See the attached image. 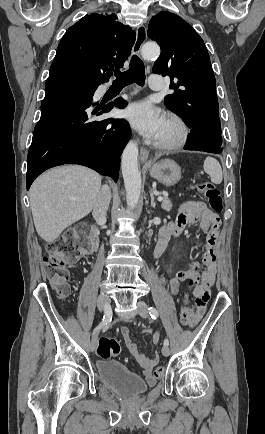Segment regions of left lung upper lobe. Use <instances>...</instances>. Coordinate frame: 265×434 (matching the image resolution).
Wrapping results in <instances>:
<instances>
[{"label":"left lung upper lobe","mask_w":265,"mask_h":434,"mask_svg":"<svg viewBox=\"0 0 265 434\" xmlns=\"http://www.w3.org/2000/svg\"><path fill=\"white\" fill-rule=\"evenodd\" d=\"M147 35L161 47L152 71L169 76V88L174 90L165 97L167 108L191 131L221 137L215 76L202 38L181 17L168 11L152 17Z\"/></svg>","instance_id":"left-lung-upper-lobe-1"}]
</instances>
